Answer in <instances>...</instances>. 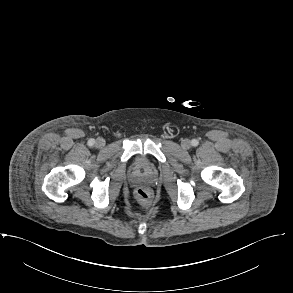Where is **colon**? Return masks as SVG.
I'll return each instance as SVG.
<instances>
[{"instance_id":"colon-1","label":"colon","mask_w":293,"mask_h":293,"mask_svg":"<svg viewBox=\"0 0 293 293\" xmlns=\"http://www.w3.org/2000/svg\"><path fill=\"white\" fill-rule=\"evenodd\" d=\"M136 198L141 207H148L151 203V194L148 189L140 187L136 190Z\"/></svg>"}]
</instances>
